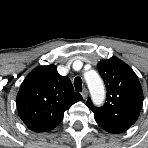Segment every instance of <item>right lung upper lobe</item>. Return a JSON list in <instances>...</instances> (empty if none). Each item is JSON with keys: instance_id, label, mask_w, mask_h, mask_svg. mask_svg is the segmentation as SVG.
Wrapping results in <instances>:
<instances>
[{"instance_id": "obj_1", "label": "right lung upper lobe", "mask_w": 148, "mask_h": 148, "mask_svg": "<svg viewBox=\"0 0 148 148\" xmlns=\"http://www.w3.org/2000/svg\"><path fill=\"white\" fill-rule=\"evenodd\" d=\"M80 100L82 96L74 92L70 79L59 75L51 64L37 67L26 76L17 94V109L30 130L47 132Z\"/></svg>"}]
</instances>
